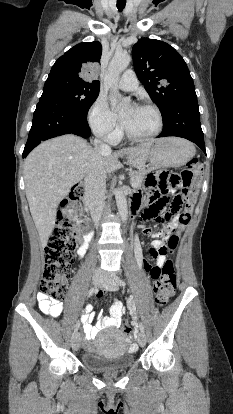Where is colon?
I'll list each match as a JSON object with an SVG mask.
<instances>
[{
    "label": "colon",
    "mask_w": 233,
    "mask_h": 414,
    "mask_svg": "<svg viewBox=\"0 0 233 414\" xmlns=\"http://www.w3.org/2000/svg\"><path fill=\"white\" fill-rule=\"evenodd\" d=\"M203 167L198 159H191L187 167L180 174L160 170L151 173L145 180V190L151 194L152 202L149 213L157 217L166 207L169 199V213H179V224L185 226L191 218V211L196 202L197 177L202 174ZM85 189L82 184L75 185L68 197L63 200L62 208L57 213L56 225L53 228L45 248V270L41 282V291L53 299L61 298L67 289V280L71 275V266L75 258V239L71 230L85 231L88 223L81 218L80 201L84 197ZM179 236L173 233L167 237L165 243L157 244L153 257L160 254H172L178 246ZM155 280V301L158 306H166L172 299L177 275L173 262L165 260L161 267L152 266L149 270ZM125 334L132 333L128 323H123Z\"/></svg>",
    "instance_id": "1"
}]
</instances>
